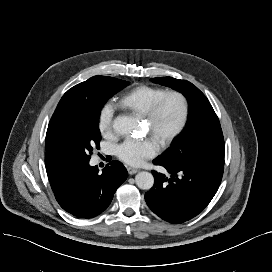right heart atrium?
<instances>
[{
	"instance_id": "d8ad5b80",
	"label": "right heart atrium",
	"mask_w": 272,
	"mask_h": 272,
	"mask_svg": "<svg viewBox=\"0 0 272 272\" xmlns=\"http://www.w3.org/2000/svg\"><path fill=\"white\" fill-rule=\"evenodd\" d=\"M115 107L112 102H106L99 111L97 126L99 132L103 136L112 134V124L114 118Z\"/></svg>"
}]
</instances>
